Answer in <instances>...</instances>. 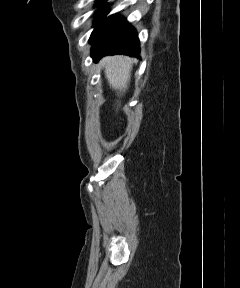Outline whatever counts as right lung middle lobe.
Returning <instances> with one entry per match:
<instances>
[{
    "mask_svg": "<svg viewBox=\"0 0 240 288\" xmlns=\"http://www.w3.org/2000/svg\"><path fill=\"white\" fill-rule=\"evenodd\" d=\"M105 0H99V2L96 4L97 6H101L103 7L105 5ZM108 12H102L99 17L97 18L96 22H95V25H97L94 29V31L92 32L91 34V37H90V40L95 36V34L98 32V30L101 28V26L105 23L106 21V14Z\"/></svg>",
    "mask_w": 240,
    "mask_h": 288,
    "instance_id": "right-lung-middle-lobe-1",
    "label": "right lung middle lobe"
}]
</instances>
